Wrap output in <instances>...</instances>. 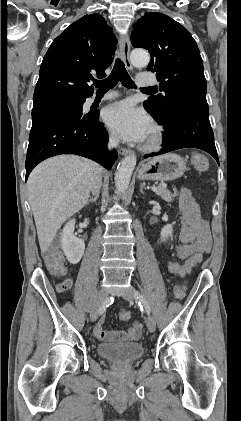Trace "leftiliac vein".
Returning <instances> with one entry per match:
<instances>
[{
  "instance_id": "1",
  "label": "left iliac vein",
  "mask_w": 241,
  "mask_h": 421,
  "mask_svg": "<svg viewBox=\"0 0 241 421\" xmlns=\"http://www.w3.org/2000/svg\"><path fill=\"white\" fill-rule=\"evenodd\" d=\"M123 298L127 301H133L136 300V291L134 289V287H129L127 289V291L123 294ZM146 324H147V328L149 329L150 332H154L156 329V321L154 319L153 316L148 315L147 319H146Z\"/></svg>"
}]
</instances>
